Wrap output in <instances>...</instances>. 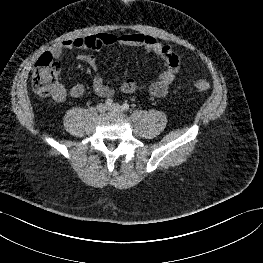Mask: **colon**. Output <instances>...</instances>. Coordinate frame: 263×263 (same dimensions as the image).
Listing matches in <instances>:
<instances>
[{
	"label": "colon",
	"instance_id": "obj_1",
	"mask_svg": "<svg viewBox=\"0 0 263 263\" xmlns=\"http://www.w3.org/2000/svg\"><path fill=\"white\" fill-rule=\"evenodd\" d=\"M60 66L52 55L45 53L37 60L33 73L31 85L37 94L41 96H52L59 85ZM196 92L204 93L209 90L210 84L204 78H198L193 82Z\"/></svg>",
	"mask_w": 263,
	"mask_h": 263
}]
</instances>
